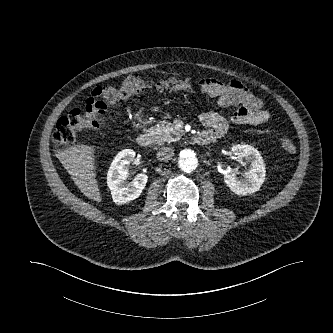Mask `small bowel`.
I'll return each mask as SVG.
<instances>
[{
	"mask_svg": "<svg viewBox=\"0 0 333 333\" xmlns=\"http://www.w3.org/2000/svg\"><path fill=\"white\" fill-rule=\"evenodd\" d=\"M199 85L202 92L217 99L219 106H236L229 116V119L236 124L258 125L269 118V113L264 109L262 101L239 81L231 80L223 83L215 78L205 77L200 80ZM200 121L209 128L206 132L213 138H219L227 129V119L215 111L203 112L200 115Z\"/></svg>",
	"mask_w": 333,
	"mask_h": 333,
	"instance_id": "obj_1",
	"label": "small bowel"
}]
</instances>
